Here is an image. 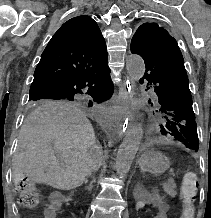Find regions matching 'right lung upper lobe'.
I'll use <instances>...</instances> for the list:
<instances>
[{
    "instance_id": "right-lung-upper-lobe-1",
    "label": "right lung upper lobe",
    "mask_w": 211,
    "mask_h": 218,
    "mask_svg": "<svg viewBox=\"0 0 211 218\" xmlns=\"http://www.w3.org/2000/svg\"><path fill=\"white\" fill-rule=\"evenodd\" d=\"M105 40L97 23L87 15L74 17L54 34L34 72L29 100L67 79L84 75L108 60Z\"/></svg>"
}]
</instances>
